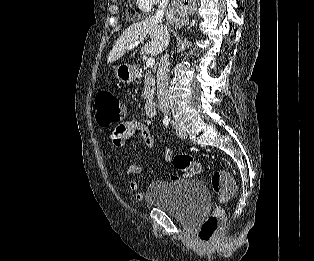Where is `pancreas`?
<instances>
[{
    "label": "pancreas",
    "instance_id": "pancreas-1",
    "mask_svg": "<svg viewBox=\"0 0 314 261\" xmlns=\"http://www.w3.org/2000/svg\"><path fill=\"white\" fill-rule=\"evenodd\" d=\"M155 90V80L151 73L147 72L144 79V99L152 100Z\"/></svg>",
    "mask_w": 314,
    "mask_h": 261
}]
</instances>
